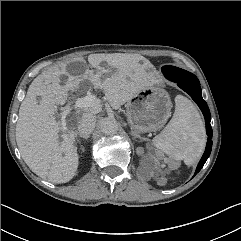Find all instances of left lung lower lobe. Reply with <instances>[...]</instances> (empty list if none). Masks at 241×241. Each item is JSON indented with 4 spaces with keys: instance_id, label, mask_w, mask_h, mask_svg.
Instances as JSON below:
<instances>
[{
    "instance_id": "obj_1",
    "label": "left lung lower lobe",
    "mask_w": 241,
    "mask_h": 241,
    "mask_svg": "<svg viewBox=\"0 0 241 241\" xmlns=\"http://www.w3.org/2000/svg\"><path fill=\"white\" fill-rule=\"evenodd\" d=\"M166 78H168L171 81L177 82L178 86L181 89H183L185 92H187L192 97V99L197 103V105L200 107V109L205 117L208 141H207L205 152H204V154L198 164V167L196 169V173H198L201 170V168L203 167V165L205 164L206 160L208 159V157L211 153V149H212V140H211L212 128L210 125L211 116H210L209 108H208L205 100H203V98H202L200 82L197 79V77H195L194 79H191V80H182V79H178L176 77H166Z\"/></svg>"
}]
</instances>
